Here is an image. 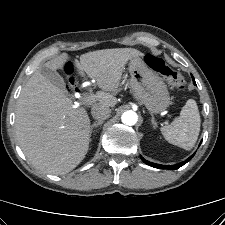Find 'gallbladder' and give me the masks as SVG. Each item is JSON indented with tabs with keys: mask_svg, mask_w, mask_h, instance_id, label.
Wrapping results in <instances>:
<instances>
[{
	"mask_svg": "<svg viewBox=\"0 0 225 225\" xmlns=\"http://www.w3.org/2000/svg\"><path fill=\"white\" fill-rule=\"evenodd\" d=\"M41 74L58 88H64V80L58 72L47 67H41Z\"/></svg>",
	"mask_w": 225,
	"mask_h": 225,
	"instance_id": "obj_1",
	"label": "gallbladder"
}]
</instances>
